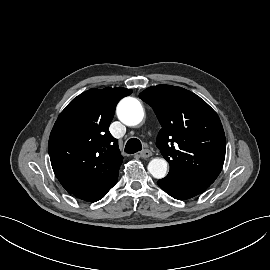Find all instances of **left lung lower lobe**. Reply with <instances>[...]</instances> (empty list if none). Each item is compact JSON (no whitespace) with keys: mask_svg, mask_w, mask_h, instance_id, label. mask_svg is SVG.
Returning <instances> with one entry per match:
<instances>
[{"mask_svg":"<svg viewBox=\"0 0 270 270\" xmlns=\"http://www.w3.org/2000/svg\"><path fill=\"white\" fill-rule=\"evenodd\" d=\"M158 185L170 196L178 200L192 198L205 191L212 183L200 177L160 179Z\"/></svg>","mask_w":270,"mask_h":270,"instance_id":"left-lung-lower-lobe-1","label":"left lung lower lobe"}]
</instances>
